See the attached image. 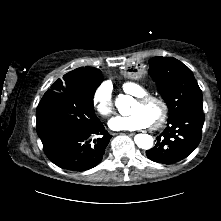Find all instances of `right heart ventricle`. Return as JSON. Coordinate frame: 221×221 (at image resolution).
<instances>
[{
    "instance_id": "right-heart-ventricle-1",
    "label": "right heart ventricle",
    "mask_w": 221,
    "mask_h": 221,
    "mask_svg": "<svg viewBox=\"0 0 221 221\" xmlns=\"http://www.w3.org/2000/svg\"><path fill=\"white\" fill-rule=\"evenodd\" d=\"M122 88L125 92L128 94H131L134 97H142L145 95H148L149 92L146 88H144L142 85L133 82V81H127L122 85Z\"/></svg>"
}]
</instances>
